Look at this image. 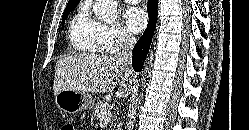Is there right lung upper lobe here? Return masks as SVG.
<instances>
[{"label": "right lung upper lobe", "mask_w": 249, "mask_h": 130, "mask_svg": "<svg viewBox=\"0 0 249 130\" xmlns=\"http://www.w3.org/2000/svg\"><path fill=\"white\" fill-rule=\"evenodd\" d=\"M80 0H69L67 5H71V4H75V3H79Z\"/></svg>", "instance_id": "obj_1"}]
</instances>
